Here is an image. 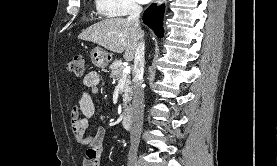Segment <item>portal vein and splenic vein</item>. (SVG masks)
<instances>
[{"label": "portal vein and splenic vein", "mask_w": 277, "mask_h": 166, "mask_svg": "<svg viewBox=\"0 0 277 166\" xmlns=\"http://www.w3.org/2000/svg\"><path fill=\"white\" fill-rule=\"evenodd\" d=\"M123 72L125 73V74H128L129 72H130V67H125L124 68V70H123Z\"/></svg>", "instance_id": "1"}]
</instances>
